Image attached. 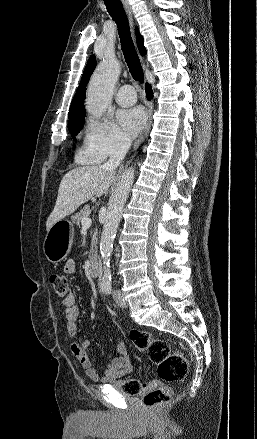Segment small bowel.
I'll list each match as a JSON object with an SVG mask.
<instances>
[{
    "label": "small bowel",
    "mask_w": 257,
    "mask_h": 439,
    "mask_svg": "<svg viewBox=\"0 0 257 439\" xmlns=\"http://www.w3.org/2000/svg\"><path fill=\"white\" fill-rule=\"evenodd\" d=\"M75 271V263L68 260L63 266L65 275L73 274ZM65 307V319L67 322V333L70 338L74 339L71 349L84 368L87 377L93 381H101L104 383L116 382L132 371V363L128 354V350L124 341H119L116 345L117 356L105 364L102 374L95 369L90 359L87 349L90 345L88 340L77 339V319L79 316V307L76 304V298L73 294H69L62 302Z\"/></svg>",
    "instance_id": "obj_1"
}]
</instances>
